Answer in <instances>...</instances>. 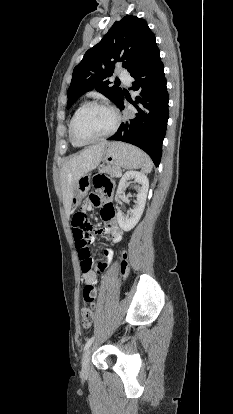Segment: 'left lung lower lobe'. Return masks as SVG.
Masks as SVG:
<instances>
[{"instance_id":"left-lung-lower-lobe-1","label":"left lung lower lobe","mask_w":233,"mask_h":414,"mask_svg":"<svg viewBox=\"0 0 233 414\" xmlns=\"http://www.w3.org/2000/svg\"><path fill=\"white\" fill-rule=\"evenodd\" d=\"M131 76L135 79L131 89L137 91L138 96L130 102L137 113L122 123L108 140L123 141L141 148L158 166L169 114L167 82L159 50L143 68ZM123 100L124 96L118 105L120 110L124 109Z\"/></svg>"}]
</instances>
